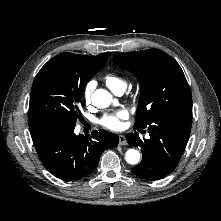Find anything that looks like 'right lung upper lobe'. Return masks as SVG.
<instances>
[{"label": "right lung upper lobe", "mask_w": 221, "mask_h": 221, "mask_svg": "<svg viewBox=\"0 0 221 221\" xmlns=\"http://www.w3.org/2000/svg\"><path fill=\"white\" fill-rule=\"evenodd\" d=\"M111 53H105V54H102V55H99V56H85V63L88 67L90 68H95V69H100L102 68L108 57L110 56ZM45 128V126H42V125H33V126H30V132L31 134L36 132V131H39L41 129Z\"/></svg>", "instance_id": "cb5924a9"}]
</instances>
